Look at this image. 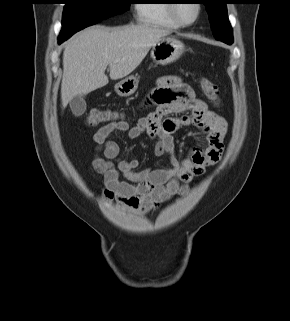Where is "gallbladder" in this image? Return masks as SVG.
<instances>
[{
  "mask_svg": "<svg viewBox=\"0 0 290 321\" xmlns=\"http://www.w3.org/2000/svg\"><path fill=\"white\" fill-rule=\"evenodd\" d=\"M84 95L75 96L69 103L70 109L76 117L81 116L86 110Z\"/></svg>",
  "mask_w": 290,
  "mask_h": 321,
  "instance_id": "bac80fb5",
  "label": "gallbladder"
}]
</instances>
